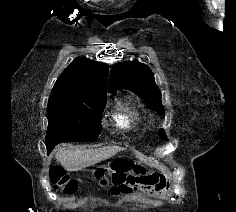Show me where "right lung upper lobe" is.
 Listing matches in <instances>:
<instances>
[{"label": "right lung upper lobe", "mask_w": 236, "mask_h": 212, "mask_svg": "<svg viewBox=\"0 0 236 212\" xmlns=\"http://www.w3.org/2000/svg\"><path fill=\"white\" fill-rule=\"evenodd\" d=\"M108 65L78 57L62 72L48 103L90 104L107 99Z\"/></svg>", "instance_id": "cb5924a9"}]
</instances>
